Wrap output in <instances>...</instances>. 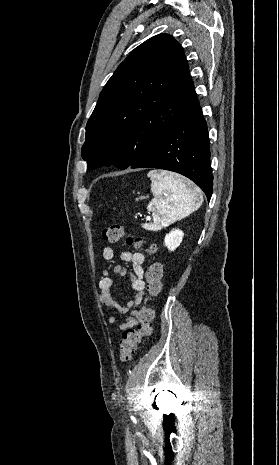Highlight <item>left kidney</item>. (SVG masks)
<instances>
[{"label": "left kidney", "mask_w": 279, "mask_h": 465, "mask_svg": "<svg viewBox=\"0 0 279 465\" xmlns=\"http://www.w3.org/2000/svg\"><path fill=\"white\" fill-rule=\"evenodd\" d=\"M183 236L184 233L181 230L174 229L166 234L164 244L170 251H174L182 242Z\"/></svg>", "instance_id": "left-kidney-1"}]
</instances>
